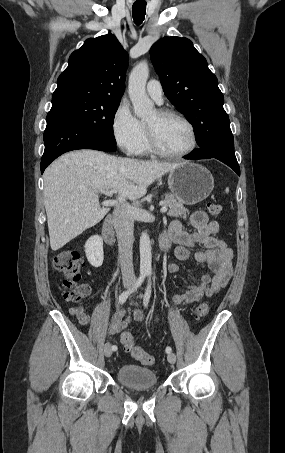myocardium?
Instances as JSON below:
<instances>
[{
	"mask_svg": "<svg viewBox=\"0 0 285 453\" xmlns=\"http://www.w3.org/2000/svg\"><path fill=\"white\" fill-rule=\"evenodd\" d=\"M157 114L161 118L173 117V118H177V119L181 120L182 122H184L187 125V127L189 128L190 133H191V144L187 149H185L184 151H181V152L167 151L160 145L159 140H158L154 130L151 127H149L148 125H145L148 144H149L151 151L157 155H160L163 157H169V158H182V157H185V156L189 155L190 153H192L198 144L197 132H196V129H195V126L193 125V123L186 116H184L183 114H181L175 110L160 109L157 111Z\"/></svg>",
	"mask_w": 285,
	"mask_h": 453,
	"instance_id": "obj_1",
	"label": "myocardium"
}]
</instances>
